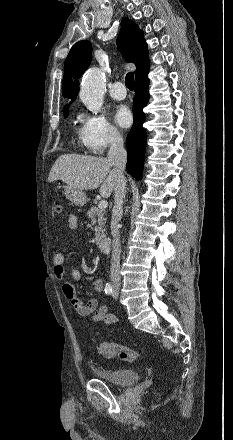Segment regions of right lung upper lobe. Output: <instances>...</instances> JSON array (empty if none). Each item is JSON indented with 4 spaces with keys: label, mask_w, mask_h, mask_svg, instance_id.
<instances>
[{
    "label": "right lung upper lobe",
    "mask_w": 233,
    "mask_h": 440,
    "mask_svg": "<svg viewBox=\"0 0 233 440\" xmlns=\"http://www.w3.org/2000/svg\"><path fill=\"white\" fill-rule=\"evenodd\" d=\"M117 46L127 62L136 65L135 80L148 73V49L143 32L128 18H124L117 38ZM92 46L89 41L77 42L70 50L64 63L63 96L74 101L78 95L79 82L76 80L88 68ZM73 79H75L73 81ZM66 105L63 110L67 109Z\"/></svg>",
    "instance_id": "right-lung-upper-lobe-1"
}]
</instances>
